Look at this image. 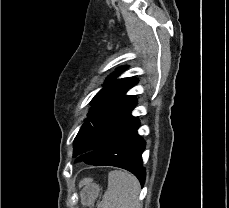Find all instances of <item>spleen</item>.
<instances>
[{
    "instance_id": "obj_1",
    "label": "spleen",
    "mask_w": 229,
    "mask_h": 208,
    "mask_svg": "<svg viewBox=\"0 0 229 208\" xmlns=\"http://www.w3.org/2000/svg\"><path fill=\"white\" fill-rule=\"evenodd\" d=\"M140 184L132 174L113 170L108 176V190L98 208H142L138 202Z\"/></svg>"
}]
</instances>
